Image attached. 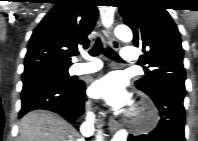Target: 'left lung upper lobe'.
Returning a JSON list of instances; mask_svg holds the SVG:
<instances>
[{
    "mask_svg": "<svg viewBox=\"0 0 198 141\" xmlns=\"http://www.w3.org/2000/svg\"><path fill=\"white\" fill-rule=\"evenodd\" d=\"M119 13L133 30L134 45L145 53L144 61L154 68L145 70L136 86L148 95L163 86L185 89L180 33L160 1L124 0Z\"/></svg>",
    "mask_w": 198,
    "mask_h": 141,
    "instance_id": "1",
    "label": "left lung upper lobe"
}]
</instances>
